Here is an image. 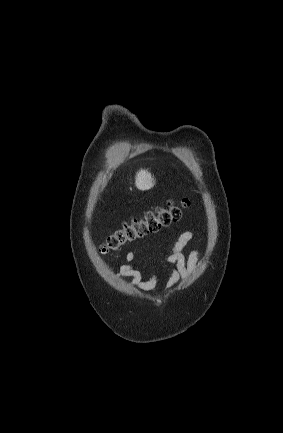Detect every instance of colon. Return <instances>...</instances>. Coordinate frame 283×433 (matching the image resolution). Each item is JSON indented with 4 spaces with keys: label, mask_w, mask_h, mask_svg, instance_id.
<instances>
[{
    "label": "colon",
    "mask_w": 283,
    "mask_h": 433,
    "mask_svg": "<svg viewBox=\"0 0 283 433\" xmlns=\"http://www.w3.org/2000/svg\"><path fill=\"white\" fill-rule=\"evenodd\" d=\"M191 200L184 198L180 203L170 202L165 207H158L148 211L144 216L133 218L109 234L101 246V252L116 253L126 245H129L148 235L159 233L178 221L182 215V209L190 206Z\"/></svg>",
    "instance_id": "1"
}]
</instances>
